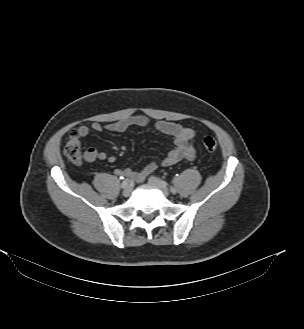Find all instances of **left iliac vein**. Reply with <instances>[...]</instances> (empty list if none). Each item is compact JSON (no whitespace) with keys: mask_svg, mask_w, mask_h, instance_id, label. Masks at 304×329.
Masks as SVG:
<instances>
[{"mask_svg":"<svg viewBox=\"0 0 304 329\" xmlns=\"http://www.w3.org/2000/svg\"><path fill=\"white\" fill-rule=\"evenodd\" d=\"M149 183L152 186L159 188L165 196H169L170 191L167 188L166 184L164 182H162L160 179H158L157 177L151 176L149 178Z\"/></svg>","mask_w":304,"mask_h":329,"instance_id":"left-iliac-vein-1","label":"left iliac vein"}]
</instances>
